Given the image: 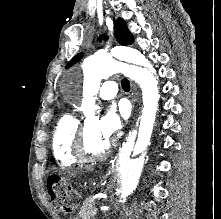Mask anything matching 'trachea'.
<instances>
[{
	"mask_svg": "<svg viewBox=\"0 0 221 219\" xmlns=\"http://www.w3.org/2000/svg\"><path fill=\"white\" fill-rule=\"evenodd\" d=\"M121 86H122V89H123L124 91H126V92L130 91V82H129V80L123 79V80L121 81Z\"/></svg>",
	"mask_w": 221,
	"mask_h": 219,
	"instance_id": "trachea-1",
	"label": "trachea"
}]
</instances>
